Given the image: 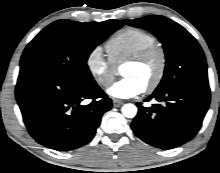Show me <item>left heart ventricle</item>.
Here are the masks:
<instances>
[{"instance_id":"left-heart-ventricle-1","label":"left heart ventricle","mask_w":220,"mask_h":173,"mask_svg":"<svg viewBox=\"0 0 220 173\" xmlns=\"http://www.w3.org/2000/svg\"><path fill=\"white\" fill-rule=\"evenodd\" d=\"M157 66L158 63L156 59L141 65L125 64L123 68V76L134 77L146 87L153 80L157 71Z\"/></svg>"}]
</instances>
